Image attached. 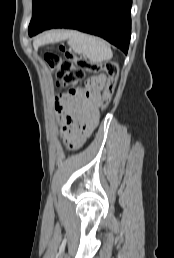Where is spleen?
Returning <instances> with one entry per match:
<instances>
[{"label": "spleen", "mask_w": 174, "mask_h": 258, "mask_svg": "<svg viewBox=\"0 0 174 258\" xmlns=\"http://www.w3.org/2000/svg\"><path fill=\"white\" fill-rule=\"evenodd\" d=\"M58 34V33H56ZM58 37L68 40L70 47L76 52L85 55L92 62H101L112 58V50L104 40L78 31H66Z\"/></svg>", "instance_id": "spleen-1"}]
</instances>
